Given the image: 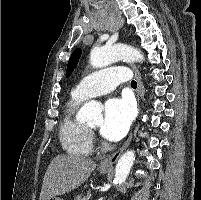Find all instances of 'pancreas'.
Returning a JSON list of instances; mask_svg holds the SVG:
<instances>
[{
  "instance_id": "1",
  "label": "pancreas",
  "mask_w": 201,
  "mask_h": 200,
  "mask_svg": "<svg viewBox=\"0 0 201 200\" xmlns=\"http://www.w3.org/2000/svg\"><path fill=\"white\" fill-rule=\"evenodd\" d=\"M74 200H89V197L86 195H77Z\"/></svg>"
}]
</instances>
